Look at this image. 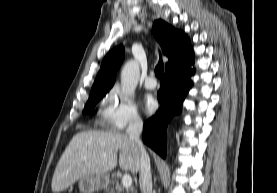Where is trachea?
Instances as JSON below:
<instances>
[{
	"label": "trachea",
	"mask_w": 277,
	"mask_h": 193,
	"mask_svg": "<svg viewBox=\"0 0 277 193\" xmlns=\"http://www.w3.org/2000/svg\"><path fill=\"white\" fill-rule=\"evenodd\" d=\"M163 73H164V64H163L162 58L160 57L159 63L155 68V75L158 78H161L163 76Z\"/></svg>",
	"instance_id": "trachea-1"
}]
</instances>
